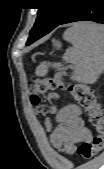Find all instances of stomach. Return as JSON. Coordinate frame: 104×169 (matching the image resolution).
Listing matches in <instances>:
<instances>
[{
  "instance_id": "obj_1",
  "label": "stomach",
  "mask_w": 104,
  "mask_h": 169,
  "mask_svg": "<svg viewBox=\"0 0 104 169\" xmlns=\"http://www.w3.org/2000/svg\"><path fill=\"white\" fill-rule=\"evenodd\" d=\"M53 45L57 48L60 49L61 48V43L59 41H53Z\"/></svg>"
}]
</instances>
